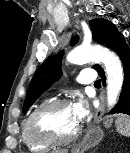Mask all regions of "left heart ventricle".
Returning <instances> with one entry per match:
<instances>
[{
  "instance_id": "b2bd125f",
  "label": "left heart ventricle",
  "mask_w": 130,
  "mask_h": 153,
  "mask_svg": "<svg viewBox=\"0 0 130 153\" xmlns=\"http://www.w3.org/2000/svg\"><path fill=\"white\" fill-rule=\"evenodd\" d=\"M78 124L72 105L62 106L43 114L37 123L39 129L49 130L60 137L70 135Z\"/></svg>"
}]
</instances>
